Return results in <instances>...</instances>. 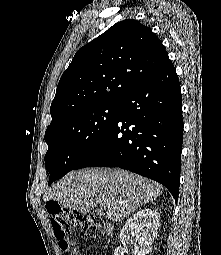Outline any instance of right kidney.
Here are the masks:
<instances>
[{
  "label": "right kidney",
  "instance_id": "1",
  "mask_svg": "<svg viewBox=\"0 0 221 255\" xmlns=\"http://www.w3.org/2000/svg\"><path fill=\"white\" fill-rule=\"evenodd\" d=\"M159 214L151 208H144L136 212L121 229L119 238L122 246L115 249L114 255L127 253L126 245L135 237L138 245L134 246L132 255H147L159 228Z\"/></svg>",
  "mask_w": 221,
  "mask_h": 255
}]
</instances>
